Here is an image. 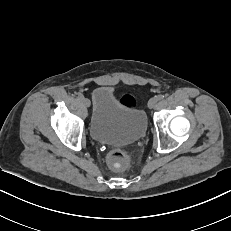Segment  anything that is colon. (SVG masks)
Wrapping results in <instances>:
<instances>
[{"label": "colon", "mask_w": 231, "mask_h": 231, "mask_svg": "<svg viewBox=\"0 0 231 231\" xmlns=\"http://www.w3.org/2000/svg\"><path fill=\"white\" fill-rule=\"evenodd\" d=\"M120 100L128 105L136 104V99L130 94H124ZM107 163L114 170H124L129 164V156L124 150L115 149L108 154Z\"/></svg>", "instance_id": "obj_1"}]
</instances>
